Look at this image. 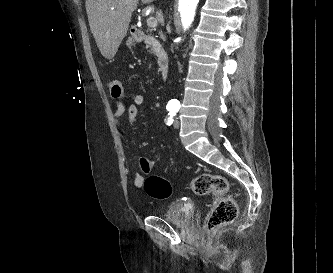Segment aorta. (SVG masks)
Masks as SVG:
<instances>
[{"instance_id":"762f6f07","label":"aorta","mask_w":333,"mask_h":273,"mask_svg":"<svg viewBox=\"0 0 333 273\" xmlns=\"http://www.w3.org/2000/svg\"><path fill=\"white\" fill-rule=\"evenodd\" d=\"M199 0H179L178 11L180 12L181 23L184 30L189 29L194 17Z\"/></svg>"}]
</instances>
